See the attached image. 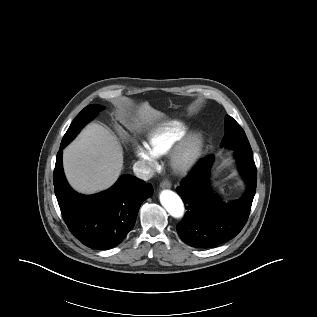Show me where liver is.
Instances as JSON below:
<instances>
[{"label": "liver", "instance_id": "6515ba94", "mask_svg": "<svg viewBox=\"0 0 317 317\" xmlns=\"http://www.w3.org/2000/svg\"><path fill=\"white\" fill-rule=\"evenodd\" d=\"M154 114L147 102L136 110L137 119L142 121H148ZM63 166L75 190L97 193L108 189L118 179L123 169L122 147L112 132L91 123L64 149Z\"/></svg>", "mask_w": 317, "mask_h": 317}]
</instances>
